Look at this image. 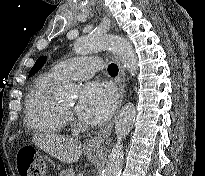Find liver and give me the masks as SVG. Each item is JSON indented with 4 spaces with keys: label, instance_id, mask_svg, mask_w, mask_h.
I'll list each match as a JSON object with an SVG mask.
<instances>
[{
    "label": "liver",
    "instance_id": "6515ba94",
    "mask_svg": "<svg viewBox=\"0 0 205 176\" xmlns=\"http://www.w3.org/2000/svg\"><path fill=\"white\" fill-rule=\"evenodd\" d=\"M33 142L63 163H74L82 155L80 142L59 135L36 134Z\"/></svg>",
    "mask_w": 205,
    "mask_h": 176
}]
</instances>
